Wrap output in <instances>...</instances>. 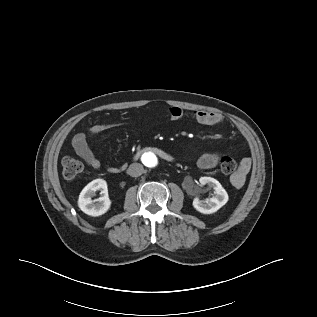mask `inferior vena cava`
<instances>
[{
  "instance_id": "obj_1",
  "label": "inferior vena cava",
  "mask_w": 317,
  "mask_h": 317,
  "mask_svg": "<svg viewBox=\"0 0 317 317\" xmlns=\"http://www.w3.org/2000/svg\"><path fill=\"white\" fill-rule=\"evenodd\" d=\"M143 172L144 168L143 165L140 163H132L127 170V173L132 177H138L142 175Z\"/></svg>"
}]
</instances>
